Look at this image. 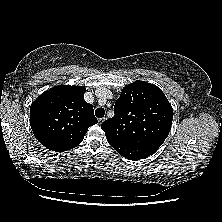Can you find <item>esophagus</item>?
<instances>
[{"instance_id":"esophagus-1","label":"esophagus","mask_w":222,"mask_h":222,"mask_svg":"<svg viewBox=\"0 0 222 222\" xmlns=\"http://www.w3.org/2000/svg\"><path fill=\"white\" fill-rule=\"evenodd\" d=\"M98 121H99V124L103 123L105 121V117L100 118Z\"/></svg>"}]
</instances>
